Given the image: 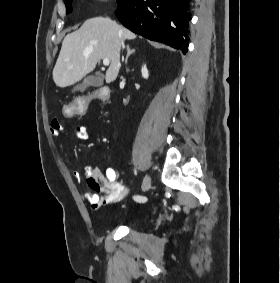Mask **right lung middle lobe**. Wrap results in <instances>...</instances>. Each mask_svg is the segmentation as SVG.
<instances>
[{"instance_id": "1", "label": "right lung middle lobe", "mask_w": 280, "mask_h": 283, "mask_svg": "<svg viewBox=\"0 0 280 283\" xmlns=\"http://www.w3.org/2000/svg\"><path fill=\"white\" fill-rule=\"evenodd\" d=\"M127 0H117L118 7H121ZM67 14H69L72 11V0H64Z\"/></svg>"}]
</instances>
